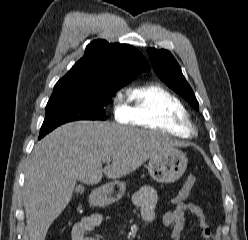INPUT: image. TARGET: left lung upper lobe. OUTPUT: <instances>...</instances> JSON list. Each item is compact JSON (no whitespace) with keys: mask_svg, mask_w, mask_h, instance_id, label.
I'll use <instances>...</instances> for the list:
<instances>
[{"mask_svg":"<svg viewBox=\"0 0 248 240\" xmlns=\"http://www.w3.org/2000/svg\"><path fill=\"white\" fill-rule=\"evenodd\" d=\"M147 52L157 76L172 90L184 97L193 108L199 110V104L194 92L183 76L181 68L173 55L164 49L149 48Z\"/></svg>","mask_w":248,"mask_h":240,"instance_id":"obj_1","label":"left lung upper lobe"}]
</instances>
